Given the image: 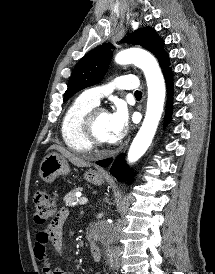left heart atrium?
<instances>
[{
	"mask_svg": "<svg viewBox=\"0 0 215 274\" xmlns=\"http://www.w3.org/2000/svg\"><path fill=\"white\" fill-rule=\"evenodd\" d=\"M128 128V112L125 106L117 105L116 109L109 114L108 132L109 141L115 142L120 140Z\"/></svg>",
	"mask_w": 215,
	"mask_h": 274,
	"instance_id": "39dd6f15",
	"label": "left heart atrium"
}]
</instances>
